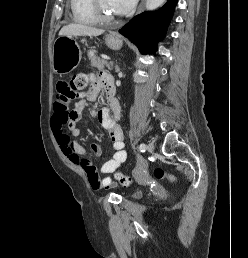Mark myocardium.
<instances>
[{"label": "myocardium", "instance_id": "obj_1", "mask_svg": "<svg viewBox=\"0 0 248 258\" xmlns=\"http://www.w3.org/2000/svg\"><path fill=\"white\" fill-rule=\"evenodd\" d=\"M91 7L97 21L108 23L115 20L114 17L104 12L101 6V0H91Z\"/></svg>", "mask_w": 248, "mask_h": 258}]
</instances>
